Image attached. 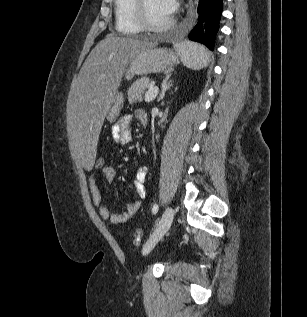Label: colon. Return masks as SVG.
Wrapping results in <instances>:
<instances>
[{
  "mask_svg": "<svg viewBox=\"0 0 307 317\" xmlns=\"http://www.w3.org/2000/svg\"><path fill=\"white\" fill-rule=\"evenodd\" d=\"M104 165H105V160L102 156H97L96 159H95V164H94V167L96 169H102L104 168ZM141 239V231L139 229L135 230L134 233H133V241L134 243H139Z\"/></svg>",
  "mask_w": 307,
  "mask_h": 317,
  "instance_id": "5ec220e1",
  "label": "colon"
}]
</instances>
